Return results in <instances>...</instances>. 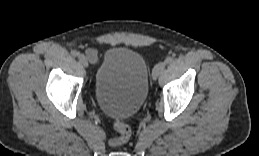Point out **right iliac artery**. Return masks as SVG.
<instances>
[{
	"label": "right iliac artery",
	"instance_id": "1",
	"mask_svg": "<svg viewBox=\"0 0 259 156\" xmlns=\"http://www.w3.org/2000/svg\"><path fill=\"white\" fill-rule=\"evenodd\" d=\"M79 54L80 53L78 51H76V50H72L71 51V55L74 56V57L79 56Z\"/></svg>",
	"mask_w": 259,
	"mask_h": 156
}]
</instances>
